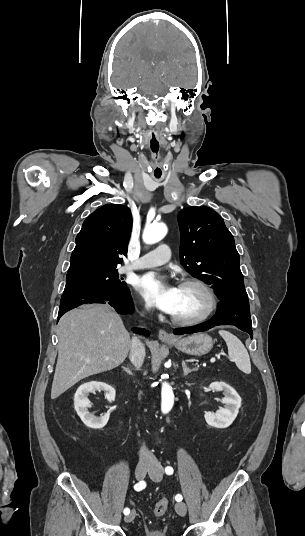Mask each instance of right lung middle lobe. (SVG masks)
I'll return each mask as SVG.
<instances>
[{
    "instance_id": "obj_1",
    "label": "right lung middle lobe",
    "mask_w": 305,
    "mask_h": 536,
    "mask_svg": "<svg viewBox=\"0 0 305 536\" xmlns=\"http://www.w3.org/2000/svg\"><path fill=\"white\" fill-rule=\"evenodd\" d=\"M127 290L116 269L66 278L64 293L88 291L100 294H118Z\"/></svg>"
}]
</instances>
